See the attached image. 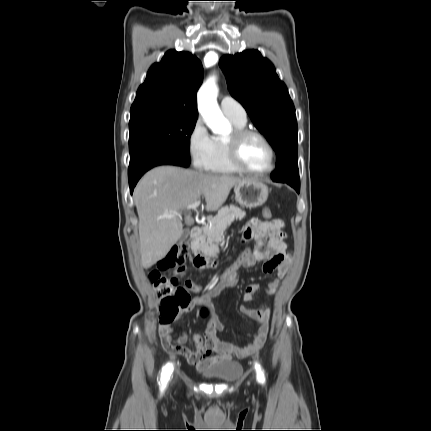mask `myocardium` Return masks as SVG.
Masks as SVG:
<instances>
[{
    "instance_id": "1",
    "label": "myocardium",
    "mask_w": 431,
    "mask_h": 431,
    "mask_svg": "<svg viewBox=\"0 0 431 431\" xmlns=\"http://www.w3.org/2000/svg\"><path fill=\"white\" fill-rule=\"evenodd\" d=\"M255 136L261 139L264 144L267 146L271 162L268 168L264 170H255L247 167L244 162L242 161L241 155H240V148L244 140L248 137ZM228 157L231 162V164L239 171L243 173L248 174H257V175H264L272 172L276 166V152L269 141V139L261 132L254 130V129H248V128H241V129H234L231 135L225 140Z\"/></svg>"
}]
</instances>
